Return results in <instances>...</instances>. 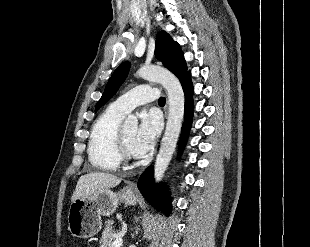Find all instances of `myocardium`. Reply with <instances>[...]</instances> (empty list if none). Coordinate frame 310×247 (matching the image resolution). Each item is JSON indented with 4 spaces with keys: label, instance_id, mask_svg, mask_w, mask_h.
Returning a JSON list of instances; mask_svg holds the SVG:
<instances>
[{
    "label": "myocardium",
    "instance_id": "myocardium-1",
    "mask_svg": "<svg viewBox=\"0 0 310 247\" xmlns=\"http://www.w3.org/2000/svg\"><path fill=\"white\" fill-rule=\"evenodd\" d=\"M118 151L120 155V159L124 162H131L134 159V156L130 149L128 148L125 138L123 129L120 127L119 133H118Z\"/></svg>",
    "mask_w": 310,
    "mask_h": 247
}]
</instances>
